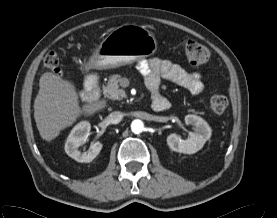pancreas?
Returning <instances> with one entry per match:
<instances>
[{"mask_svg": "<svg viewBox=\"0 0 277 218\" xmlns=\"http://www.w3.org/2000/svg\"><path fill=\"white\" fill-rule=\"evenodd\" d=\"M121 76L111 75L105 86H103V94L110 99H123L126 98V93L120 88Z\"/></svg>", "mask_w": 277, "mask_h": 218, "instance_id": "cf45deb5", "label": "pancreas"}]
</instances>
